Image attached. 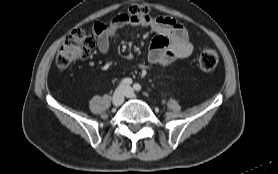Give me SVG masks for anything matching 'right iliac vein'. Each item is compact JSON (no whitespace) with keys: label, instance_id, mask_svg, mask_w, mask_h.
Returning a JSON list of instances; mask_svg holds the SVG:
<instances>
[{"label":"right iliac vein","instance_id":"obj_1","mask_svg":"<svg viewBox=\"0 0 278 174\" xmlns=\"http://www.w3.org/2000/svg\"><path fill=\"white\" fill-rule=\"evenodd\" d=\"M124 95V88L120 87L119 89H117L113 95V104L115 106H120L124 102Z\"/></svg>","mask_w":278,"mask_h":174}]
</instances>
